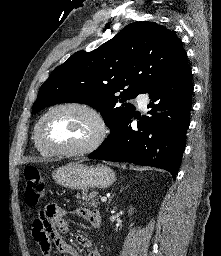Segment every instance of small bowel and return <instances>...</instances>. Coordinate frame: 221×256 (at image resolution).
Listing matches in <instances>:
<instances>
[{
	"mask_svg": "<svg viewBox=\"0 0 221 256\" xmlns=\"http://www.w3.org/2000/svg\"><path fill=\"white\" fill-rule=\"evenodd\" d=\"M75 214L87 220L91 226L99 227L100 214L97 210L88 208H78ZM70 228L67 219V211L55 204H48L40 211L39 216L33 221L32 236L39 245L43 256H52V245L64 256H81L80 253L68 244L62 234L68 232ZM78 243L81 247L89 249L92 241L85 235H79ZM86 256H101L99 251L91 250Z\"/></svg>",
	"mask_w": 221,
	"mask_h": 256,
	"instance_id": "small-bowel-1",
	"label": "small bowel"
}]
</instances>
